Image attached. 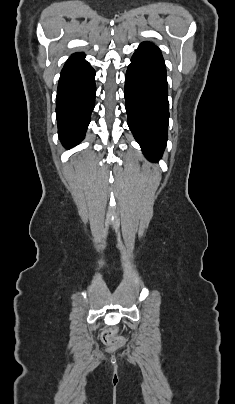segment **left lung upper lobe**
Returning <instances> with one entry per match:
<instances>
[{
	"label": "left lung upper lobe",
	"instance_id": "obj_1",
	"mask_svg": "<svg viewBox=\"0 0 235 404\" xmlns=\"http://www.w3.org/2000/svg\"><path fill=\"white\" fill-rule=\"evenodd\" d=\"M144 43H150V44H152L151 42H144Z\"/></svg>",
	"mask_w": 235,
	"mask_h": 404
}]
</instances>
